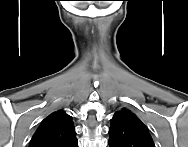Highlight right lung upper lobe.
I'll return each instance as SVG.
<instances>
[{
    "mask_svg": "<svg viewBox=\"0 0 188 147\" xmlns=\"http://www.w3.org/2000/svg\"><path fill=\"white\" fill-rule=\"evenodd\" d=\"M71 117L58 110L46 117L30 141V147H77Z\"/></svg>",
    "mask_w": 188,
    "mask_h": 147,
    "instance_id": "obj_1",
    "label": "right lung upper lobe"
}]
</instances>
